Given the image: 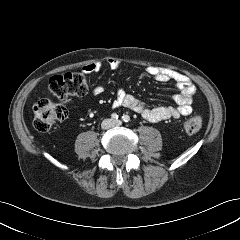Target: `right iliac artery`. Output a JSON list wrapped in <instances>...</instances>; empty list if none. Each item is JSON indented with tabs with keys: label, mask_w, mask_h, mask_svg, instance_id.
Wrapping results in <instances>:
<instances>
[{
	"label": "right iliac artery",
	"mask_w": 240,
	"mask_h": 240,
	"mask_svg": "<svg viewBox=\"0 0 240 240\" xmlns=\"http://www.w3.org/2000/svg\"><path fill=\"white\" fill-rule=\"evenodd\" d=\"M118 115L116 114V113H113L112 115H111V118H112V120H114V121H116L117 119H118Z\"/></svg>",
	"instance_id": "obj_1"
}]
</instances>
